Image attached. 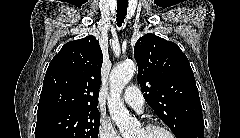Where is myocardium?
Returning <instances> with one entry per match:
<instances>
[{
	"instance_id": "1",
	"label": "myocardium",
	"mask_w": 240,
	"mask_h": 138,
	"mask_svg": "<svg viewBox=\"0 0 240 138\" xmlns=\"http://www.w3.org/2000/svg\"><path fill=\"white\" fill-rule=\"evenodd\" d=\"M143 129L146 131H161L167 135V138H174L173 133L169 129L157 123H149Z\"/></svg>"
}]
</instances>
